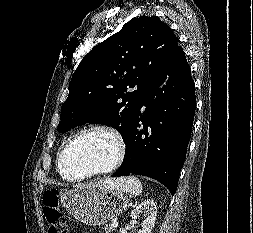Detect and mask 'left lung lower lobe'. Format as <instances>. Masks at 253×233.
<instances>
[{
	"label": "left lung lower lobe",
	"mask_w": 253,
	"mask_h": 233,
	"mask_svg": "<svg viewBox=\"0 0 253 233\" xmlns=\"http://www.w3.org/2000/svg\"><path fill=\"white\" fill-rule=\"evenodd\" d=\"M194 86L185 53L178 45L163 77L149 89L133 115L123 138L126 155L112 177L148 176L175 194L193 125Z\"/></svg>",
	"instance_id": "1"
}]
</instances>
